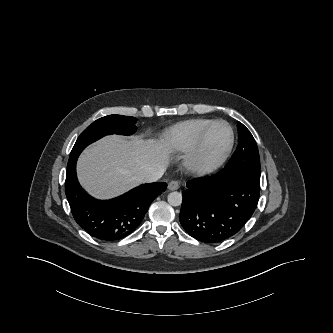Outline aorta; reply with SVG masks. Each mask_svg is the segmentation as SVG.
<instances>
[{"label":"aorta","instance_id":"aorta-1","mask_svg":"<svg viewBox=\"0 0 333 333\" xmlns=\"http://www.w3.org/2000/svg\"><path fill=\"white\" fill-rule=\"evenodd\" d=\"M167 199L168 203L172 206H179L182 203V195L177 191L171 192Z\"/></svg>","mask_w":333,"mask_h":333}]
</instances>
